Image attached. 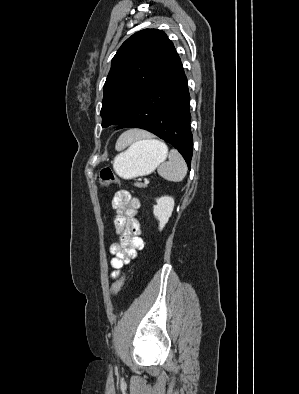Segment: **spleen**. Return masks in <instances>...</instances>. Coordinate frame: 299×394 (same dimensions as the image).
<instances>
[{
  "instance_id": "3e777b00",
  "label": "spleen",
  "mask_w": 299,
  "mask_h": 394,
  "mask_svg": "<svg viewBox=\"0 0 299 394\" xmlns=\"http://www.w3.org/2000/svg\"><path fill=\"white\" fill-rule=\"evenodd\" d=\"M125 133L120 137L118 141V147L124 148L127 145V141L125 140ZM153 143L154 145H160L167 149V146L155 139L144 140ZM138 142L133 143L131 146L136 145ZM169 161L162 163L158 167V173L161 177L168 181L180 182L184 179L187 173V165L182 155L176 150L172 149L169 152Z\"/></svg>"
}]
</instances>
